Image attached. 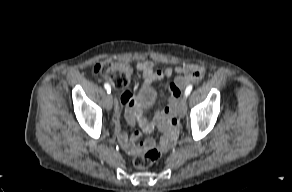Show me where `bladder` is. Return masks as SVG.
Listing matches in <instances>:
<instances>
[{
	"label": "bladder",
	"instance_id": "31cf9c89",
	"mask_svg": "<svg viewBox=\"0 0 292 192\" xmlns=\"http://www.w3.org/2000/svg\"><path fill=\"white\" fill-rule=\"evenodd\" d=\"M157 99L158 92L152 86L144 87L138 95V102L144 109L151 108L156 103Z\"/></svg>",
	"mask_w": 292,
	"mask_h": 192
}]
</instances>
